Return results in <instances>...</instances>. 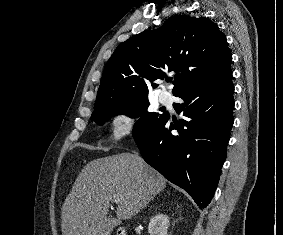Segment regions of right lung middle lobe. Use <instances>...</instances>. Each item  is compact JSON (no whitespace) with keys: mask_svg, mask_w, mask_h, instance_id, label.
Listing matches in <instances>:
<instances>
[{"mask_svg":"<svg viewBox=\"0 0 283 235\" xmlns=\"http://www.w3.org/2000/svg\"><path fill=\"white\" fill-rule=\"evenodd\" d=\"M148 106V96L123 101L104 102L95 105L91 120L102 125L109 118L118 114H125L131 118L139 117L132 133L133 137H136L152 128L165 115V113L149 112L147 110Z\"/></svg>","mask_w":283,"mask_h":235,"instance_id":"dd1d6c3e","label":"right lung middle lobe"}]
</instances>
